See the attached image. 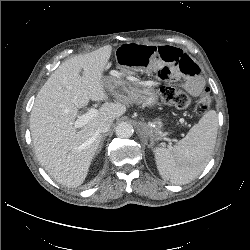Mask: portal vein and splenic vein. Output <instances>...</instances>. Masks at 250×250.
<instances>
[{
	"label": "portal vein and splenic vein",
	"mask_w": 250,
	"mask_h": 250,
	"mask_svg": "<svg viewBox=\"0 0 250 250\" xmlns=\"http://www.w3.org/2000/svg\"><path fill=\"white\" fill-rule=\"evenodd\" d=\"M98 114V110L95 108H90L85 114L82 116H79L76 121H74V127L75 128H82L84 125H86L90 120H92L94 117H96Z\"/></svg>",
	"instance_id": "portal-vein-and-splenic-vein-1"
}]
</instances>
